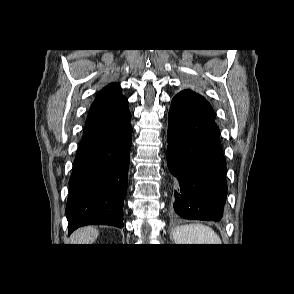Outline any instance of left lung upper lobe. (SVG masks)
Wrapping results in <instances>:
<instances>
[{"label":"left lung upper lobe","mask_w":294,"mask_h":294,"mask_svg":"<svg viewBox=\"0 0 294 294\" xmlns=\"http://www.w3.org/2000/svg\"><path fill=\"white\" fill-rule=\"evenodd\" d=\"M184 91H191V92L196 93L195 91H193V90H191V89L183 90L182 92H184Z\"/></svg>","instance_id":"left-lung-upper-lobe-1"}]
</instances>
